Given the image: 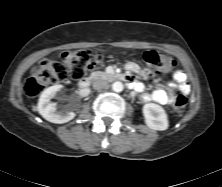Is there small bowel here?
<instances>
[{"label":"small bowel","mask_w":222,"mask_h":187,"mask_svg":"<svg viewBox=\"0 0 222 187\" xmlns=\"http://www.w3.org/2000/svg\"><path fill=\"white\" fill-rule=\"evenodd\" d=\"M127 69L132 73H139L140 71L139 67L134 63H129L127 65ZM174 79L177 82L175 87L180 92L187 94L190 91V85L187 82L186 76L182 71H177L174 74ZM135 87L138 91H141L143 88L141 84H136ZM141 98L143 101H154V102L164 105V104L171 103L174 99V95L171 93H168L167 91L163 89H156L150 94H147V93L142 94Z\"/></svg>","instance_id":"1"}]
</instances>
